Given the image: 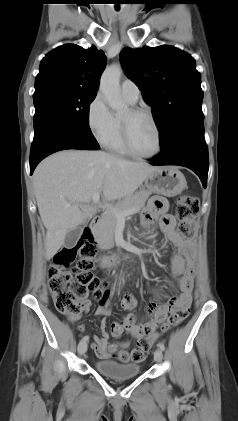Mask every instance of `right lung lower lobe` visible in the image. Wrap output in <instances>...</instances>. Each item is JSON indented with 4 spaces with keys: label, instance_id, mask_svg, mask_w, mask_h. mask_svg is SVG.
Here are the masks:
<instances>
[{
    "label": "right lung lower lobe",
    "instance_id": "1",
    "mask_svg": "<svg viewBox=\"0 0 238 421\" xmlns=\"http://www.w3.org/2000/svg\"><path fill=\"white\" fill-rule=\"evenodd\" d=\"M66 149L96 150L97 141L90 140L56 119H45L34 129L30 151V173L48 155Z\"/></svg>",
    "mask_w": 238,
    "mask_h": 421
}]
</instances>
